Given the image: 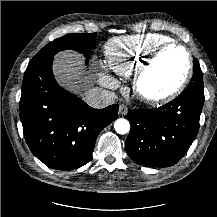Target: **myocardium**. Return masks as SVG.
Instances as JSON below:
<instances>
[{
    "mask_svg": "<svg viewBox=\"0 0 217 217\" xmlns=\"http://www.w3.org/2000/svg\"><path fill=\"white\" fill-rule=\"evenodd\" d=\"M177 48L184 51L187 56L188 66L185 75L178 83V85L172 89L171 91L160 94V95H148L142 90V82L152 68L154 63L157 59L162 55L163 52L166 50ZM193 56L190 50L177 42H168L165 43L158 48H156L151 54L140 64L136 72L134 73L133 77V90L135 95L140 99L142 102L149 104V105H157V104H164L176 99L179 95L183 93V91L187 88L192 76H193Z\"/></svg>",
    "mask_w": 217,
    "mask_h": 217,
    "instance_id": "f54148a6",
    "label": "myocardium"
}]
</instances>
